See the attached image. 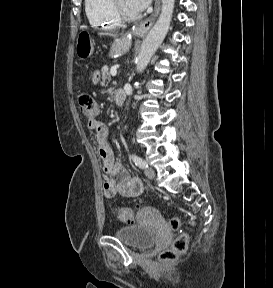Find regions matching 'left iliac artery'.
I'll return each instance as SVG.
<instances>
[{"instance_id":"obj_1","label":"left iliac artery","mask_w":273,"mask_h":288,"mask_svg":"<svg viewBox=\"0 0 273 288\" xmlns=\"http://www.w3.org/2000/svg\"><path fill=\"white\" fill-rule=\"evenodd\" d=\"M132 159L137 167L141 169H145L148 167V164L141 157L137 155H132Z\"/></svg>"}]
</instances>
